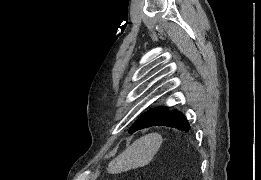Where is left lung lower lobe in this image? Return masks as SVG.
Here are the masks:
<instances>
[{
	"label": "left lung lower lobe",
	"mask_w": 261,
	"mask_h": 180,
	"mask_svg": "<svg viewBox=\"0 0 261 180\" xmlns=\"http://www.w3.org/2000/svg\"><path fill=\"white\" fill-rule=\"evenodd\" d=\"M151 126L173 127L181 131H189L190 129L186 117L177 110H166Z\"/></svg>",
	"instance_id": "obj_1"
}]
</instances>
